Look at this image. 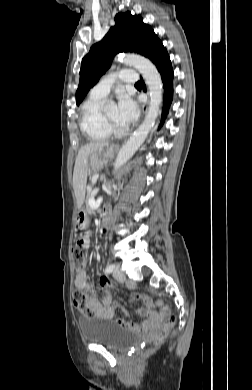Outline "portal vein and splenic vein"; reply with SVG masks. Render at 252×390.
Here are the masks:
<instances>
[{"label":"portal vein and splenic vein","instance_id":"1","mask_svg":"<svg viewBox=\"0 0 252 390\" xmlns=\"http://www.w3.org/2000/svg\"><path fill=\"white\" fill-rule=\"evenodd\" d=\"M98 191H99V189H95L94 190V194H96ZM101 202H102V198L101 197L98 198L96 201L94 200V198H90L89 199V205L92 208H98Z\"/></svg>","mask_w":252,"mask_h":390}]
</instances>
